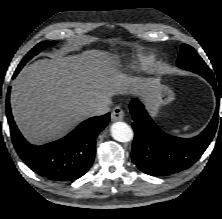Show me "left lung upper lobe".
<instances>
[{
  "label": "left lung upper lobe",
  "mask_w": 222,
  "mask_h": 219,
  "mask_svg": "<svg viewBox=\"0 0 222 219\" xmlns=\"http://www.w3.org/2000/svg\"><path fill=\"white\" fill-rule=\"evenodd\" d=\"M177 65L182 69L192 72H197L200 70L207 72L211 71L202 58L195 52V50L187 44H182L181 46Z\"/></svg>",
  "instance_id": "left-lung-upper-lobe-1"
}]
</instances>
